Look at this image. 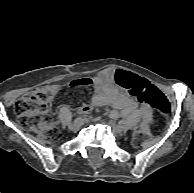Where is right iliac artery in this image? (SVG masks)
<instances>
[{"mask_svg":"<svg viewBox=\"0 0 194 193\" xmlns=\"http://www.w3.org/2000/svg\"><path fill=\"white\" fill-rule=\"evenodd\" d=\"M82 120V118L81 117H78V118H76L74 121L75 122H79V121H81Z\"/></svg>","mask_w":194,"mask_h":193,"instance_id":"obj_1","label":"right iliac artery"}]
</instances>
